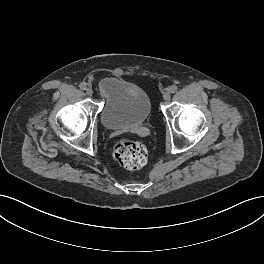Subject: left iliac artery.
Here are the masks:
<instances>
[{
  "label": "left iliac artery",
  "instance_id": "obj_1",
  "mask_svg": "<svg viewBox=\"0 0 264 264\" xmlns=\"http://www.w3.org/2000/svg\"><path fill=\"white\" fill-rule=\"evenodd\" d=\"M178 87L176 85H173L170 87V92L175 93L177 91Z\"/></svg>",
  "mask_w": 264,
  "mask_h": 264
}]
</instances>
